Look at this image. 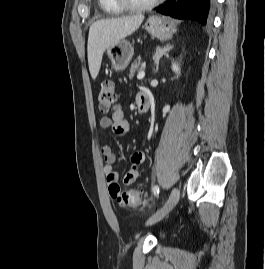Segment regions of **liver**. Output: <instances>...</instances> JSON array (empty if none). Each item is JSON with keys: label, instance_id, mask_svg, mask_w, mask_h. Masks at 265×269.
I'll use <instances>...</instances> for the list:
<instances>
[{"label": "liver", "instance_id": "6515ba94", "mask_svg": "<svg viewBox=\"0 0 265 269\" xmlns=\"http://www.w3.org/2000/svg\"><path fill=\"white\" fill-rule=\"evenodd\" d=\"M144 20V15H133L94 22L89 29L87 53L91 77L98 76L103 53L109 47L134 33Z\"/></svg>", "mask_w": 265, "mask_h": 269}]
</instances>
